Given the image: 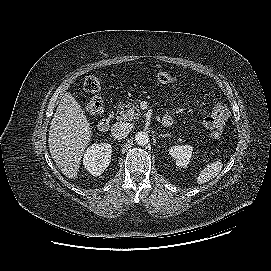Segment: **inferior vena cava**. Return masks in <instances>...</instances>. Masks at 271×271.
<instances>
[{
  "label": "inferior vena cava",
  "instance_id": "inferior-vena-cava-1",
  "mask_svg": "<svg viewBox=\"0 0 271 271\" xmlns=\"http://www.w3.org/2000/svg\"><path fill=\"white\" fill-rule=\"evenodd\" d=\"M130 125L125 122H116L111 126V134L115 139L121 140L128 136Z\"/></svg>",
  "mask_w": 271,
  "mask_h": 271
}]
</instances>
